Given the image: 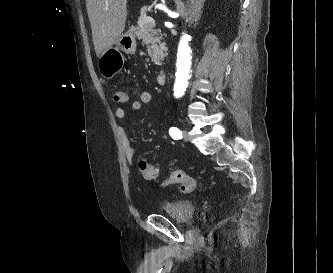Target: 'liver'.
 Segmentation results:
<instances>
[{
	"mask_svg": "<svg viewBox=\"0 0 333 273\" xmlns=\"http://www.w3.org/2000/svg\"><path fill=\"white\" fill-rule=\"evenodd\" d=\"M127 0H86L95 52L100 58L125 29Z\"/></svg>",
	"mask_w": 333,
	"mask_h": 273,
	"instance_id": "obj_1",
	"label": "liver"
}]
</instances>
